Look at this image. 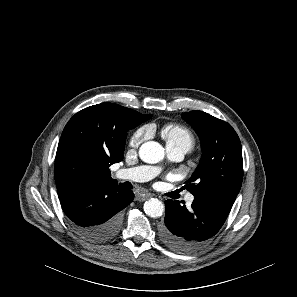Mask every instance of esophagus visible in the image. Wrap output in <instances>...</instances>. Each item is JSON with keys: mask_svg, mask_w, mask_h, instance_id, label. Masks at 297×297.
<instances>
[{"mask_svg": "<svg viewBox=\"0 0 297 297\" xmlns=\"http://www.w3.org/2000/svg\"><path fill=\"white\" fill-rule=\"evenodd\" d=\"M151 197L152 195L150 193H138L135 198L137 201L143 202Z\"/></svg>", "mask_w": 297, "mask_h": 297, "instance_id": "34e87169", "label": "esophagus"}]
</instances>
